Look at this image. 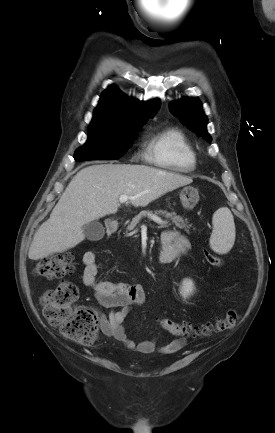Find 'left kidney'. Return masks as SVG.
Listing matches in <instances>:
<instances>
[{"mask_svg": "<svg viewBox=\"0 0 275 433\" xmlns=\"http://www.w3.org/2000/svg\"><path fill=\"white\" fill-rule=\"evenodd\" d=\"M180 295L183 298L189 297L194 292V284L191 279H184L182 281V286L179 289Z\"/></svg>", "mask_w": 275, "mask_h": 433, "instance_id": "5707ae66", "label": "left kidney"}]
</instances>
